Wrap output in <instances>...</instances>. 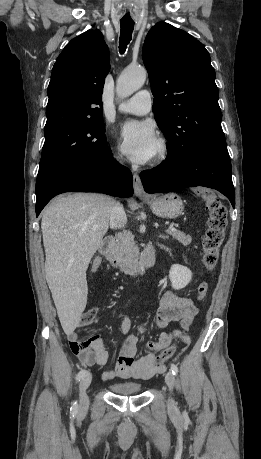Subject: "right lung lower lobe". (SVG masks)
<instances>
[{
	"label": "right lung lower lobe",
	"mask_w": 261,
	"mask_h": 459,
	"mask_svg": "<svg viewBox=\"0 0 261 459\" xmlns=\"http://www.w3.org/2000/svg\"><path fill=\"white\" fill-rule=\"evenodd\" d=\"M70 191L131 197L133 178L129 169L113 160L111 153L106 162H85L68 166L36 184V216L54 196Z\"/></svg>",
	"instance_id": "right-lung-lower-lobe-1"
}]
</instances>
